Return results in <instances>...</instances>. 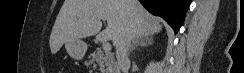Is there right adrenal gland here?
I'll return each mask as SVG.
<instances>
[{
    "label": "right adrenal gland",
    "mask_w": 244,
    "mask_h": 73,
    "mask_svg": "<svg viewBox=\"0 0 244 73\" xmlns=\"http://www.w3.org/2000/svg\"><path fill=\"white\" fill-rule=\"evenodd\" d=\"M152 44H153V37L151 35L136 38L132 41V44L130 45L129 53L138 46H149Z\"/></svg>",
    "instance_id": "1"
}]
</instances>
